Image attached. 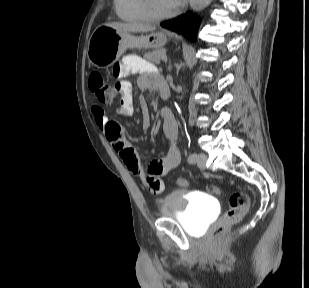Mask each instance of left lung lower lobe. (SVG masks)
Returning a JSON list of instances; mask_svg holds the SVG:
<instances>
[{
  "label": "left lung lower lobe",
  "mask_w": 309,
  "mask_h": 288,
  "mask_svg": "<svg viewBox=\"0 0 309 288\" xmlns=\"http://www.w3.org/2000/svg\"><path fill=\"white\" fill-rule=\"evenodd\" d=\"M161 26L173 30L192 41H196L199 19L191 12L175 19L161 23Z\"/></svg>",
  "instance_id": "obj_1"
}]
</instances>
